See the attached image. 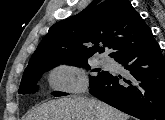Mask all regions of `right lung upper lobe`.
Instances as JSON below:
<instances>
[{
    "instance_id": "obj_1",
    "label": "right lung upper lobe",
    "mask_w": 165,
    "mask_h": 120,
    "mask_svg": "<svg viewBox=\"0 0 165 120\" xmlns=\"http://www.w3.org/2000/svg\"><path fill=\"white\" fill-rule=\"evenodd\" d=\"M149 34L151 29L128 0H94L79 14L51 26L28 65L43 60L88 58L104 52V47L114 58ZM86 42L93 46H85Z\"/></svg>"
}]
</instances>
